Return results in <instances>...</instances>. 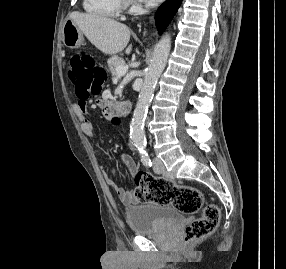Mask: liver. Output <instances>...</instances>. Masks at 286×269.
<instances>
[{
  "instance_id": "6515ba94",
  "label": "liver",
  "mask_w": 286,
  "mask_h": 269,
  "mask_svg": "<svg viewBox=\"0 0 286 269\" xmlns=\"http://www.w3.org/2000/svg\"><path fill=\"white\" fill-rule=\"evenodd\" d=\"M69 18L104 54L114 55L127 47L130 29L125 24L94 13L73 12ZM131 51L132 45L128 46L125 52L130 54Z\"/></svg>"
}]
</instances>
